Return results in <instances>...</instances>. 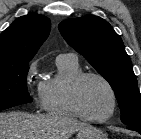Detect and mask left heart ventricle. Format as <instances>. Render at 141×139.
<instances>
[{"label": "left heart ventricle", "mask_w": 141, "mask_h": 139, "mask_svg": "<svg viewBox=\"0 0 141 139\" xmlns=\"http://www.w3.org/2000/svg\"><path fill=\"white\" fill-rule=\"evenodd\" d=\"M80 102L85 113L94 118L105 117L112 99L107 86L97 78L86 79L80 88Z\"/></svg>", "instance_id": "b2bd125f"}]
</instances>
